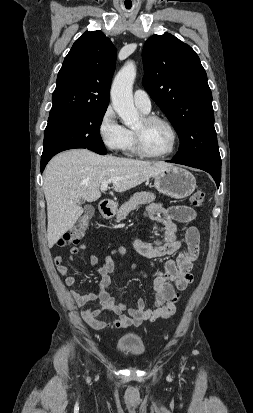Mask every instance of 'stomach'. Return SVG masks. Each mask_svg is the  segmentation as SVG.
Listing matches in <instances>:
<instances>
[{"instance_id":"stomach-1","label":"stomach","mask_w":253,"mask_h":413,"mask_svg":"<svg viewBox=\"0 0 253 413\" xmlns=\"http://www.w3.org/2000/svg\"><path fill=\"white\" fill-rule=\"evenodd\" d=\"M156 190L174 199L190 196L196 188L195 177L187 170L172 166L154 176Z\"/></svg>"}]
</instances>
